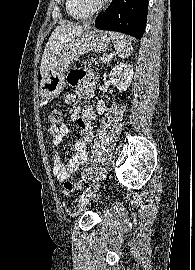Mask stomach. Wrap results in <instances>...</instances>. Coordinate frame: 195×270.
<instances>
[{"instance_id":"0dacf381","label":"stomach","mask_w":195,"mask_h":270,"mask_svg":"<svg viewBox=\"0 0 195 270\" xmlns=\"http://www.w3.org/2000/svg\"><path fill=\"white\" fill-rule=\"evenodd\" d=\"M111 42L109 33L94 28L87 29L73 37L62 51L57 61L50 67L41 83L40 94L45 100H52L60 95L65 85L67 67L78 60L84 53L101 52Z\"/></svg>"}]
</instances>
